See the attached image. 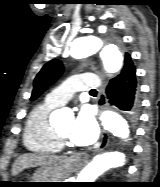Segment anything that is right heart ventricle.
Masks as SVG:
<instances>
[{"mask_svg":"<svg viewBox=\"0 0 160 187\" xmlns=\"http://www.w3.org/2000/svg\"><path fill=\"white\" fill-rule=\"evenodd\" d=\"M55 107L45 101L30 112L23 133L24 146L28 151L42 155L61 152L60 140L48 120L49 112Z\"/></svg>","mask_w":160,"mask_h":187,"instance_id":"e07e8e85","label":"right heart ventricle"}]
</instances>
